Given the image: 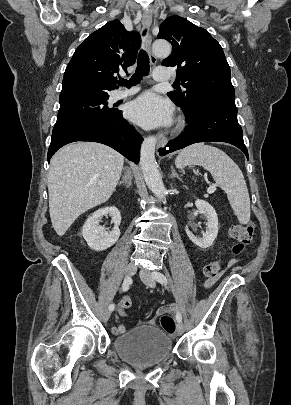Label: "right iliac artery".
Wrapping results in <instances>:
<instances>
[{
	"label": "right iliac artery",
	"instance_id": "1",
	"mask_svg": "<svg viewBox=\"0 0 291 405\" xmlns=\"http://www.w3.org/2000/svg\"><path fill=\"white\" fill-rule=\"evenodd\" d=\"M131 282H132V281H131V278L128 277V276L124 279V282H123V284H122V291H123V292H126V291L129 289ZM114 308H115V305H114L113 303L110 304L109 307H108V309H109L110 311H113Z\"/></svg>",
	"mask_w": 291,
	"mask_h": 405
}]
</instances>
